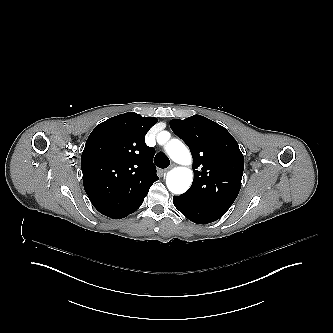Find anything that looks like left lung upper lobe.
<instances>
[{
    "label": "left lung upper lobe",
    "mask_w": 333,
    "mask_h": 333,
    "mask_svg": "<svg viewBox=\"0 0 333 333\" xmlns=\"http://www.w3.org/2000/svg\"><path fill=\"white\" fill-rule=\"evenodd\" d=\"M170 127L193 156V183L181 196L229 209L239 194L244 170L237 141L224 127L201 115L171 120Z\"/></svg>",
    "instance_id": "left-lung-upper-lobe-1"
}]
</instances>
